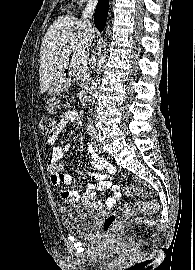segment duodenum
I'll return each mask as SVG.
<instances>
[{
    "label": "duodenum",
    "instance_id": "duodenum-1",
    "mask_svg": "<svg viewBox=\"0 0 195 270\" xmlns=\"http://www.w3.org/2000/svg\"><path fill=\"white\" fill-rule=\"evenodd\" d=\"M64 76H65L66 78H69V77H70V71H69V69H65V71H64ZM81 99H82L83 101H86V99H87V93H86V91H83V92H82V94H81Z\"/></svg>",
    "mask_w": 195,
    "mask_h": 270
}]
</instances>
